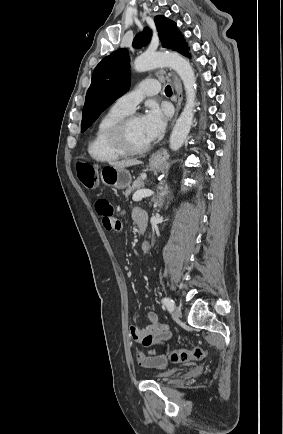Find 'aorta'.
I'll use <instances>...</instances> for the list:
<instances>
[{
    "label": "aorta",
    "instance_id": "762f6f07",
    "mask_svg": "<svg viewBox=\"0 0 283 434\" xmlns=\"http://www.w3.org/2000/svg\"><path fill=\"white\" fill-rule=\"evenodd\" d=\"M161 66H168L176 71L183 82L186 93L185 107L170 136V148L176 151L183 145L193 122L196 104V78L190 63L177 53H146L134 61V69L137 72H144Z\"/></svg>",
    "mask_w": 283,
    "mask_h": 434
}]
</instances>
